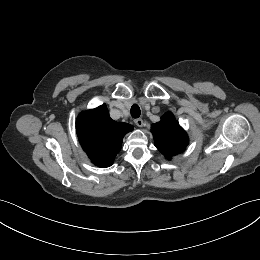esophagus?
I'll list each match as a JSON object with an SVG mask.
<instances>
[{"label": "esophagus", "instance_id": "34e87169", "mask_svg": "<svg viewBox=\"0 0 260 260\" xmlns=\"http://www.w3.org/2000/svg\"><path fill=\"white\" fill-rule=\"evenodd\" d=\"M134 123L139 127L143 126V120L141 118L134 119Z\"/></svg>", "mask_w": 260, "mask_h": 260}]
</instances>
